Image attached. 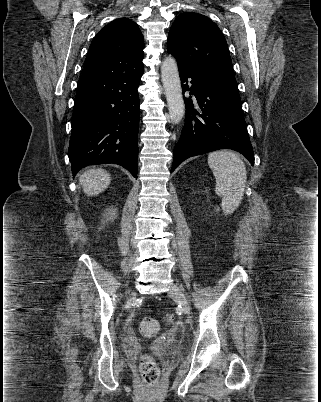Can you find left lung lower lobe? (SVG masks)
Wrapping results in <instances>:
<instances>
[{"instance_id": "1", "label": "left lung lower lobe", "mask_w": 321, "mask_h": 402, "mask_svg": "<svg viewBox=\"0 0 321 402\" xmlns=\"http://www.w3.org/2000/svg\"><path fill=\"white\" fill-rule=\"evenodd\" d=\"M184 97L186 121L174 148L171 172L189 157L229 148L254 164V153L242 111L235 77L194 71L178 64ZM191 80V87L188 86Z\"/></svg>"}]
</instances>
